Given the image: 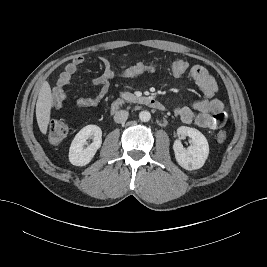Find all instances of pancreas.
<instances>
[{
  "mask_svg": "<svg viewBox=\"0 0 267 267\" xmlns=\"http://www.w3.org/2000/svg\"><path fill=\"white\" fill-rule=\"evenodd\" d=\"M121 97L123 100L127 101V102H133L134 100L137 99V97L130 93V92H123L121 93Z\"/></svg>",
  "mask_w": 267,
  "mask_h": 267,
  "instance_id": "1",
  "label": "pancreas"
}]
</instances>
